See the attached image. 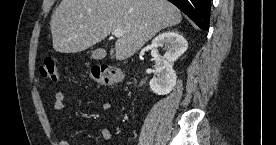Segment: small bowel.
<instances>
[{"instance_id": "obj_1", "label": "small bowel", "mask_w": 276, "mask_h": 145, "mask_svg": "<svg viewBox=\"0 0 276 145\" xmlns=\"http://www.w3.org/2000/svg\"><path fill=\"white\" fill-rule=\"evenodd\" d=\"M54 110L57 112L62 111L65 108V96L62 92H57L54 95ZM101 107L104 110H108L111 107V104L108 100H103L101 102ZM100 137L103 140H112L114 138V135L111 130L107 128H103L100 130ZM59 145H70L68 140H61L59 142Z\"/></svg>"}]
</instances>
